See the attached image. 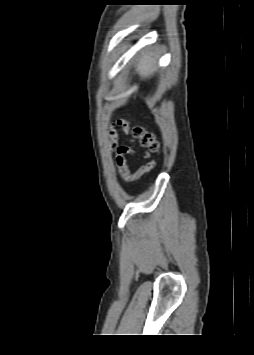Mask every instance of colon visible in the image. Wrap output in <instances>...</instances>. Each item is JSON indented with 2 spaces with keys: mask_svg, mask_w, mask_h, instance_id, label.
<instances>
[{
  "mask_svg": "<svg viewBox=\"0 0 254 355\" xmlns=\"http://www.w3.org/2000/svg\"><path fill=\"white\" fill-rule=\"evenodd\" d=\"M131 136L150 152L158 151V143L156 142L153 134L144 128L133 127L131 130Z\"/></svg>",
  "mask_w": 254,
  "mask_h": 355,
  "instance_id": "colon-1",
  "label": "colon"
}]
</instances>
